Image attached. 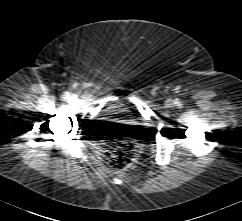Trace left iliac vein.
I'll return each instance as SVG.
<instances>
[{"instance_id":"1","label":"left iliac vein","mask_w":242,"mask_h":221,"mask_svg":"<svg viewBox=\"0 0 242 221\" xmlns=\"http://www.w3.org/2000/svg\"><path fill=\"white\" fill-rule=\"evenodd\" d=\"M167 103H168V105H172L173 104L171 99L168 100Z\"/></svg>"}]
</instances>
